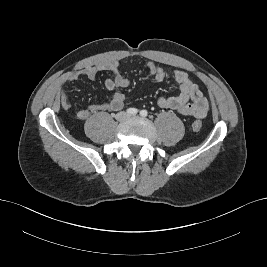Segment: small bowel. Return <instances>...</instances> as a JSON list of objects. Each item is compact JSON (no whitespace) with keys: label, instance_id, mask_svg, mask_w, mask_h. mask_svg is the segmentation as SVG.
Listing matches in <instances>:
<instances>
[{"label":"small bowel","instance_id":"small-bowel-1","mask_svg":"<svg viewBox=\"0 0 267 267\" xmlns=\"http://www.w3.org/2000/svg\"><path fill=\"white\" fill-rule=\"evenodd\" d=\"M149 77L155 82H162L167 76L166 71L155 63L148 62L146 64ZM100 71H108L113 74V77L107 78L104 85L107 90H114L116 88H126L129 86V80L123 75L121 65L118 61H109L97 66H89L80 70L78 73L70 74L66 81L74 82L81 75L89 80H94ZM171 77L178 84L180 93L173 97H160L157 104L161 108L171 109L185 116H194L196 118H204L209 111V103L203 93L200 91L198 85L189 77V75L181 70H173L170 73ZM126 101L124 94L116 92L105 103L91 104L85 109L77 112L79 120H86L91 114H96L103 111L120 110ZM59 103L63 110H69L71 103L68 93L62 89L59 95Z\"/></svg>","mask_w":267,"mask_h":267}]
</instances>
